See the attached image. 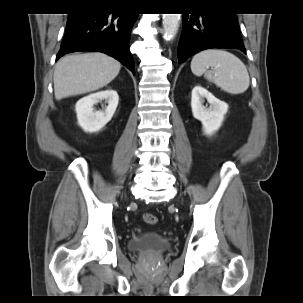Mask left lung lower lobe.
<instances>
[{
	"label": "left lung lower lobe",
	"instance_id": "left-lung-lower-lobe-1",
	"mask_svg": "<svg viewBox=\"0 0 303 303\" xmlns=\"http://www.w3.org/2000/svg\"><path fill=\"white\" fill-rule=\"evenodd\" d=\"M210 48H235L246 53L235 13L184 14L178 60Z\"/></svg>",
	"mask_w": 303,
	"mask_h": 303
}]
</instances>
